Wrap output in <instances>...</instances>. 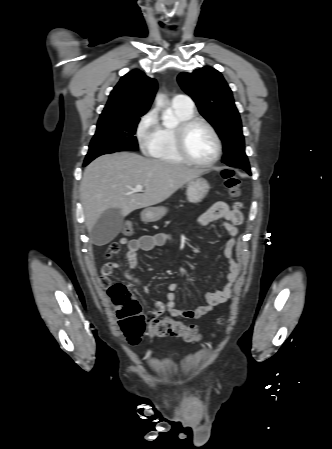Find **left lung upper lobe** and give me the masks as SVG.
Returning <instances> with one entry per match:
<instances>
[{"instance_id":"1","label":"left lung upper lobe","mask_w":332,"mask_h":449,"mask_svg":"<svg viewBox=\"0 0 332 449\" xmlns=\"http://www.w3.org/2000/svg\"><path fill=\"white\" fill-rule=\"evenodd\" d=\"M177 80L222 140V162L250 174L239 112L234 104L232 91L222 74L206 66L192 73L182 72Z\"/></svg>"}]
</instances>
